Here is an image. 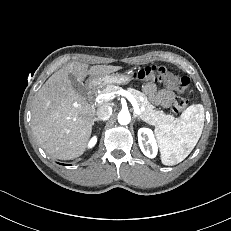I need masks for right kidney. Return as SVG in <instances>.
Returning a JSON list of instances; mask_svg holds the SVG:
<instances>
[{
	"label": "right kidney",
	"instance_id": "obj_1",
	"mask_svg": "<svg viewBox=\"0 0 231 231\" xmlns=\"http://www.w3.org/2000/svg\"><path fill=\"white\" fill-rule=\"evenodd\" d=\"M96 142H97V137H96V136H93V137L91 138V140L89 141V143H88V147H89V148L94 147L95 144H96Z\"/></svg>",
	"mask_w": 231,
	"mask_h": 231
}]
</instances>
